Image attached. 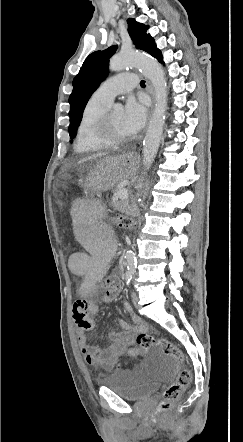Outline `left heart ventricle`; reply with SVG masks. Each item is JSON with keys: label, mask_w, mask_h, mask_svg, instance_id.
<instances>
[{"label": "left heart ventricle", "mask_w": 243, "mask_h": 442, "mask_svg": "<svg viewBox=\"0 0 243 442\" xmlns=\"http://www.w3.org/2000/svg\"><path fill=\"white\" fill-rule=\"evenodd\" d=\"M110 124H111V134L114 137L122 138L130 135L124 126L122 111L110 112Z\"/></svg>", "instance_id": "left-heart-ventricle-1"}]
</instances>
